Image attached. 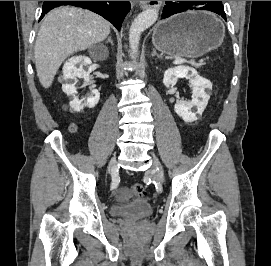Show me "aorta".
I'll list each match as a JSON object with an SVG mask.
<instances>
[{"label":"aorta","mask_w":271,"mask_h":266,"mask_svg":"<svg viewBox=\"0 0 271 266\" xmlns=\"http://www.w3.org/2000/svg\"><path fill=\"white\" fill-rule=\"evenodd\" d=\"M159 11L155 8L140 13L132 22L129 31L130 52L133 58L138 55V46L142 32L152 26L158 19Z\"/></svg>","instance_id":"obj_1"}]
</instances>
